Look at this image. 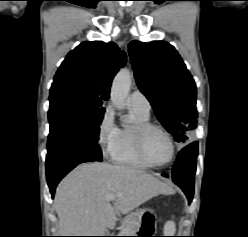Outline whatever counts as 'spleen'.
Here are the masks:
<instances>
[{"instance_id": "1", "label": "spleen", "mask_w": 248, "mask_h": 237, "mask_svg": "<svg viewBox=\"0 0 248 237\" xmlns=\"http://www.w3.org/2000/svg\"><path fill=\"white\" fill-rule=\"evenodd\" d=\"M176 227L173 221H168L164 226V233L169 236H173L175 234Z\"/></svg>"}]
</instances>
